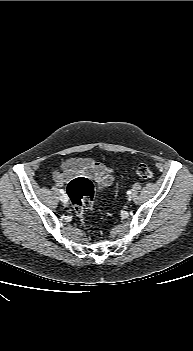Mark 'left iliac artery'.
Instances as JSON below:
<instances>
[{"instance_id": "obj_1", "label": "left iliac artery", "mask_w": 193, "mask_h": 351, "mask_svg": "<svg viewBox=\"0 0 193 351\" xmlns=\"http://www.w3.org/2000/svg\"><path fill=\"white\" fill-rule=\"evenodd\" d=\"M132 192L130 190L127 191V194L130 195Z\"/></svg>"}]
</instances>
